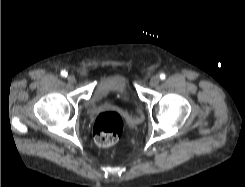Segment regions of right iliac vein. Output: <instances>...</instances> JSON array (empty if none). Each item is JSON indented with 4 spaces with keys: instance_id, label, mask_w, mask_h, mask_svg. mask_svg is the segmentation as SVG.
Here are the masks:
<instances>
[{
    "instance_id": "right-iliac-vein-1",
    "label": "right iliac vein",
    "mask_w": 245,
    "mask_h": 187,
    "mask_svg": "<svg viewBox=\"0 0 245 187\" xmlns=\"http://www.w3.org/2000/svg\"><path fill=\"white\" fill-rule=\"evenodd\" d=\"M67 80L69 83H72V84L76 82V78L74 75H68Z\"/></svg>"
}]
</instances>
